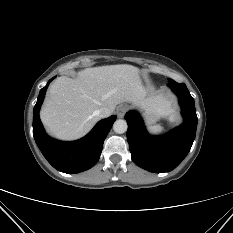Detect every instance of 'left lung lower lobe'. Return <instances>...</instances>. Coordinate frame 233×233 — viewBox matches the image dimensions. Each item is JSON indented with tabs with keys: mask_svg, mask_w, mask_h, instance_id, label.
<instances>
[{
	"mask_svg": "<svg viewBox=\"0 0 233 233\" xmlns=\"http://www.w3.org/2000/svg\"><path fill=\"white\" fill-rule=\"evenodd\" d=\"M168 86L178 96L184 123L162 136H151L140 115L129 111L127 140L131 158L139 167L154 173L176 168L189 153L195 139L197 115L194 99L184 83L171 80Z\"/></svg>",
	"mask_w": 233,
	"mask_h": 233,
	"instance_id": "1",
	"label": "left lung lower lobe"
}]
</instances>
